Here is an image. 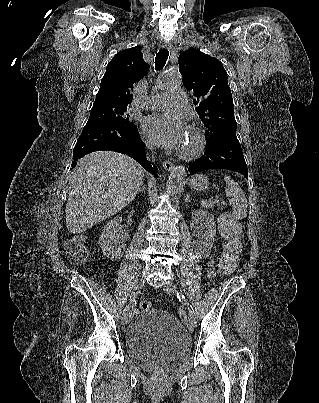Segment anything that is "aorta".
Returning a JSON list of instances; mask_svg holds the SVG:
<instances>
[{
    "instance_id": "1",
    "label": "aorta",
    "mask_w": 319,
    "mask_h": 403,
    "mask_svg": "<svg viewBox=\"0 0 319 403\" xmlns=\"http://www.w3.org/2000/svg\"><path fill=\"white\" fill-rule=\"evenodd\" d=\"M181 84L180 77L177 74L163 73L158 79V85L161 88L178 87ZM186 179V170L184 166H176L171 172L167 181V190L170 194H177L184 186Z\"/></svg>"
}]
</instances>
